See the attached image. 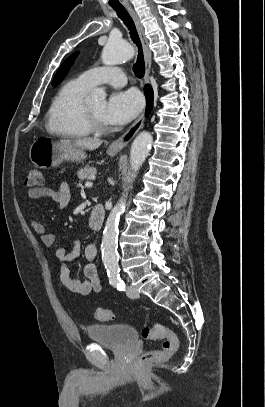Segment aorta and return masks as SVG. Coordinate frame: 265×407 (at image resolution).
<instances>
[{
    "instance_id": "762f6f07",
    "label": "aorta",
    "mask_w": 265,
    "mask_h": 407,
    "mask_svg": "<svg viewBox=\"0 0 265 407\" xmlns=\"http://www.w3.org/2000/svg\"><path fill=\"white\" fill-rule=\"evenodd\" d=\"M134 56V47L121 40L110 38L104 46L101 59L105 65H116L124 61L130 60ZM106 93L103 90H94L87 101L89 103L102 102L105 100ZM153 143L152 135L149 132H141L133 141L130 151V166L131 177H136V174L147 155L149 154ZM126 202L122 197L119 202L111 210L102 238V261L111 276H115L119 272L118 256H117V238H118V223L120 215L124 212Z\"/></svg>"
}]
</instances>
